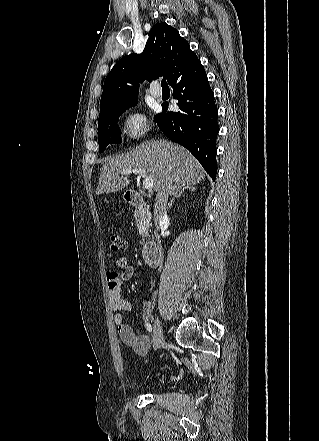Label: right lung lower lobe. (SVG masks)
I'll return each mask as SVG.
<instances>
[{
  "label": "right lung lower lobe",
  "mask_w": 319,
  "mask_h": 441,
  "mask_svg": "<svg viewBox=\"0 0 319 441\" xmlns=\"http://www.w3.org/2000/svg\"><path fill=\"white\" fill-rule=\"evenodd\" d=\"M170 86L181 112L166 113L168 104L164 103L163 113L155 122L170 140L187 148L215 180L218 110L200 60L175 78Z\"/></svg>",
  "instance_id": "98d812e1"
}]
</instances>
